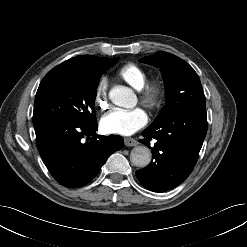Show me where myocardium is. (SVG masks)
<instances>
[{
    "mask_svg": "<svg viewBox=\"0 0 247 247\" xmlns=\"http://www.w3.org/2000/svg\"><path fill=\"white\" fill-rule=\"evenodd\" d=\"M165 93L164 81L159 77L153 78L147 81L142 89L139 90L140 102L149 110H157L164 102Z\"/></svg>",
    "mask_w": 247,
    "mask_h": 247,
    "instance_id": "1",
    "label": "myocardium"
}]
</instances>
